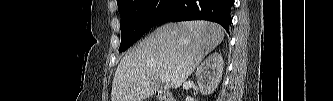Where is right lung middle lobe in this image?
Masks as SVG:
<instances>
[{
  "instance_id": "1",
  "label": "right lung middle lobe",
  "mask_w": 333,
  "mask_h": 101,
  "mask_svg": "<svg viewBox=\"0 0 333 101\" xmlns=\"http://www.w3.org/2000/svg\"><path fill=\"white\" fill-rule=\"evenodd\" d=\"M170 0H119L121 44L119 52L127 50L153 25L160 23Z\"/></svg>"
}]
</instances>
